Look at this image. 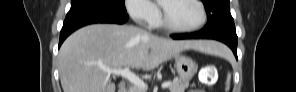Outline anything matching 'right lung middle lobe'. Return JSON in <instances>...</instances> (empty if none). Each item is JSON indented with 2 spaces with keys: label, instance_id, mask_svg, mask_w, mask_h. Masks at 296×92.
Segmentation results:
<instances>
[{
  "label": "right lung middle lobe",
  "instance_id": "1",
  "mask_svg": "<svg viewBox=\"0 0 296 92\" xmlns=\"http://www.w3.org/2000/svg\"><path fill=\"white\" fill-rule=\"evenodd\" d=\"M125 0H71V7L78 5H98L113 11L126 12Z\"/></svg>",
  "mask_w": 296,
  "mask_h": 92
}]
</instances>
